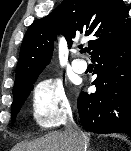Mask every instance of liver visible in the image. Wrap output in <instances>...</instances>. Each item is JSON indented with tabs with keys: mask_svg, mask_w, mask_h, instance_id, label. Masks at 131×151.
<instances>
[{
	"mask_svg": "<svg viewBox=\"0 0 131 151\" xmlns=\"http://www.w3.org/2000/svg\"><path fill=\"white\" fill-rule=\"evenodd\" d=\"M88 141L86 136V142ZM76 149L66 132H54L33 142L17 144L12 151H77Z\"/></svg>",
	"mask_w": 131,
	"mask_h": 151,
	"instance_id": "1",
	"label": "liver"
}]
</instances>
